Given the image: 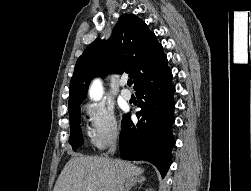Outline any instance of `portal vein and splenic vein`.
<instances>
[{
	"label": "portal vein and splenic vein",
	"instance_id": "1",
	"mask_svg": "<svg viewBox=\"0 0 251 191\" xmlns=\"http://www.w3.org/2000/svg\"><path fill=\"white\" fill-rule=\"evenodd\" d=\"M94 189H97V191H102L101 187H98V185H94Z\"/></svg>",
	"mask_w": 251,
	"mask_h": 191
}]
</instances>
